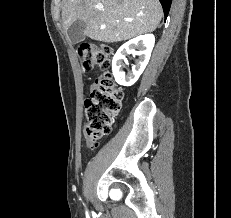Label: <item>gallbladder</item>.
Returning <instances> with one entry per match:
<instances>
[{
    "label": "gallbladder",
    "instance_id": "obj_1",
    "mask_svg": "<svg viewBox=\"0 0 231 218\" xmlns=\"http://www.w3.org/2000/svg\"><path fill=\"white\" fill-rule=\"evenodd\" d=\"M85 22L77 20L68 29V37L72 44L79 43L85 39L84 36Z\"/></svg>",
    "mask_w": 231,
    "mask_h": 218
}]
</instances>
